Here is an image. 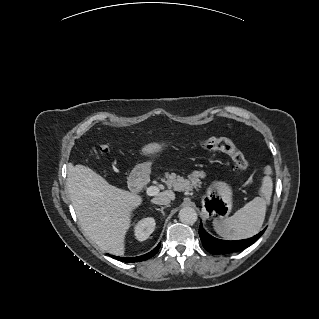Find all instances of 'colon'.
<instances>
[{"instance_id":"colon-1","label":"colon","mask_w":319,"mask_h":319,"mask_svg":"<svg viewBox=\"0 0 319 319\" xmlns=\"http://www.w3.org/2000/svg\"><path fill=\"white\" fill-rule=\"evenodd\" d=\"M198 146L202 149L206 150H214V151H221L228 154L237 170L244 172L247 170L249 164L244 156L235 148V146L225 139L219 138H208L199 141ZM127 153L126 150L114 148L108 145H104L99 147L95 154L97 156L100 155H111V154H125Z\"/></svg>"}]
</instances>
